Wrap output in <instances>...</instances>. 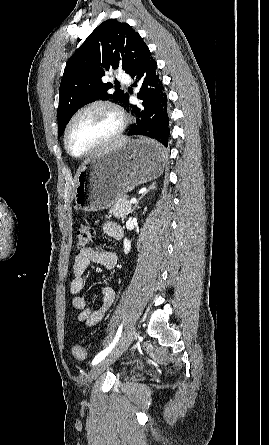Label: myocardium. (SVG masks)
Returning <instances> with one entry per match:
<instances>
[{"label":"myocardium","mask_w":269,"mask_h":445,"mask_svg":"<svg viewBox=\"0 0 269 445\" xmlns=\"http://www.w3.org/2000/svg\"><path fill=\"white\" fill-rule=\"evenodd\" d=\"M95 108H103V109H106L109 112H111L117 119V127L110 136H108L107 138H105L104 140H102L101 142L96 144L94 147L90 148L89 150H87L86 152H84L82 154L76 155V154L72 153V151L70 150L69 145H68V136H69L70 129H71L73 123L76 121V119L81 114H83L91 109H95ZM126 126H127L126 116H125L124 112L116 104H114L108 100H96V101L90 102V103L80 107L78 110H76L73 113V115L70 117V119L68 120V122L65 126L64 134H63V144L65 147V150L71 157H73L75 159L86 158L88 156H91V155L99 152L103 148L107 147L108 145H110L111 143L116 141L123 134L124 130L126 129Z\"/></svg>","instance_id":"f54148a6"}]
</instances>
